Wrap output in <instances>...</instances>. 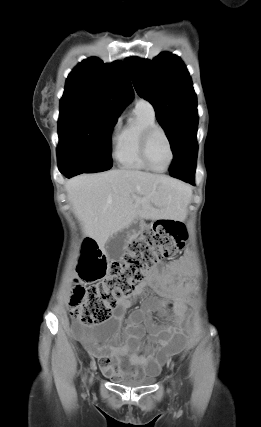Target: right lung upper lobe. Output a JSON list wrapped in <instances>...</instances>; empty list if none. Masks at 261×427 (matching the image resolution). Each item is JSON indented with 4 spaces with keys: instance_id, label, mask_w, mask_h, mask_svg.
Listing matches in <instances>:
<instances>
[{
    "instance_id": "obj_1",
    "label": "right lung upper lobe",
    "mask_w": 261,
    "mask_h": 427,
    "mask_svg": "<svg viewBox=\"0 0 261 427\" xmlns=\"http://www.w3.org/2000/svg\"><path fill=\"white\" fill-rule=\"evenodd\" d=\"M133 90L124 62L103 63L96 57L79 63L69 74L60 111L88 109L119 116Z\"/></svg>"
}]
</instances>
